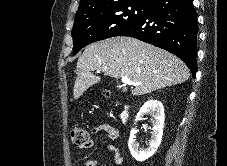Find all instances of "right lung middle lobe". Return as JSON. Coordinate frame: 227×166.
<instances>
[{
    "label": "right lung middle lobe",
    "instance_id": "obj_1",
    "mask_svg": "<svg viewBox=\"0 0 227 166\" xmlns=\"http://www.w3.org/2000/svg\"><path fill=\"white\" fill-rule=\"evenodd\" d=\"M147 7L148 5L127 3L76 14L72 29L74 53L95 41L117 36L140 20Z\"/></svg>",
    "mask_w": 227,
    "mask_h": 166
}]
</instances>
